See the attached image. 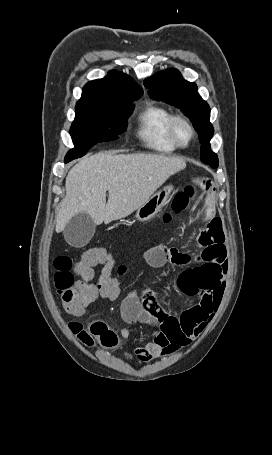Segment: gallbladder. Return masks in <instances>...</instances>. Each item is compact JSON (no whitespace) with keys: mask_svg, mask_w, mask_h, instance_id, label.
Listing matches in <instances>:
<instances>
[{"mask_svg":"<svg viewBox=\"0 0 272 455\" xmlns=\"http://www.w3.org/2000/svg\"><path fill=\"white\" fill-rule=\"evenodd\" d=\"M95 227L94 221L87 213H78L66 224L63 235L69 245L82 247L93 237Z\"/></svg>","mask_w":272,"mask_h":455,"instance_id":"gallbladder-1","label":"gallbladder"}]
</instances>
